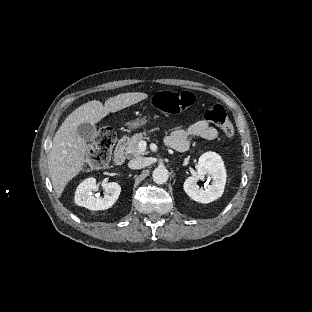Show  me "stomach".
Instances as JSON below:
<instances>
[{"label": "stomach", "instance_id": "stomach-1", "mask_svg": "<svg viewBox=\"0 0 312 312\" xmlns=\"http://www.w3.org/2000/svg\"><path fill=\"white\" fill-rule=\"evenodd\" d=\"M145 123H146V121L144 119H141V120L132 121V122L128 123V125H129L130 129H136V128L144 125Z\"/></svg>", "mask_w": 312, "mask_h": 312}]
</instances>
